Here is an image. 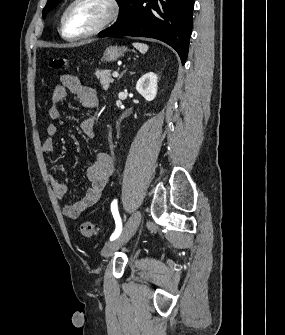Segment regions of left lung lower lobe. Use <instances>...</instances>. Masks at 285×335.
Segmentation results:
<instances>
[{
	"label": "left lung lower lobe",
	"mask_w": 285,
	"mask_h": 335,
	"mask_svg": "<svg viewBox=\"0 0 285 335\" xmlns=\"http://www.w3.org/2000/svg\"><path fill=\"white\" fill-rule=\"evenodd\" d=\"M120 16L102 37L134 36L161 40L184 65L193 25L194 0H122Z\"/></svg>",
	"instance_id": "0a47b994"
}]
</instances>
